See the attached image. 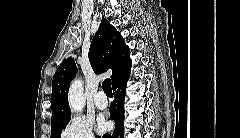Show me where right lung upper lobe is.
I'll return each instance as SVG.
<instances>
[{
    "label": "right lung upper lobe",
    "instance_id": "cb5924a9",
    "mask_svg": "<svg viewBox=\"0 0 240 138\" xmlns=\"http://www.w3.org/2000/svg\"><path fill=\"white\" fill-rule=\"evenodd\" d=\"M130 49L120 33L103 18L89 49V61L96 74L112 69V87L129 78ZM77 67L72 57L64 60L56 70L52 81L51 126L70 121L68 90Z\"/></svg>",
    "mask_w": 240,
    "mask_h": 138
}]
</instances>
